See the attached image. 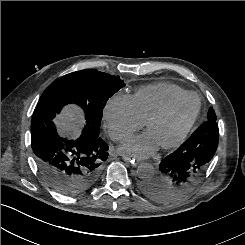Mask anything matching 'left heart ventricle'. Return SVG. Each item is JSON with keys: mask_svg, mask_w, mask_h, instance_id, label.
I'll list each match as a JSON object with an SVG mask.
<instances>
[{"mask_svg": "<svg viewBox=\"0 0 245 245\" xmlns=\"http://www.w3.org/2000/svg\"><path fill=\"white\" fill-rule=\"evenodd\" d=\"M197 99L188 98L177 105L166 117L148 128L159 146L175 140L193 118L197 109Z\"/></svg>", "mask_w": 245, "mask_h": 245, "instance_id": "b2bd125f", "label": "left heart ventricle"}]
</instances>
